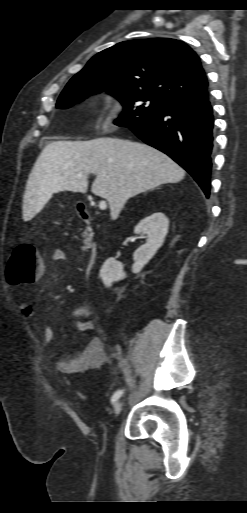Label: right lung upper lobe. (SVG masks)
<instances>
[{"label":"right lung upper lobe","instance_id":"cb5924a9","mask_svg":"<svg viewBox=\"0 0 247 513\" xmlns=\"http://www.w3.org/2000/svg\"><path fill=\"white\" fill-rule=\"evenodd\" d=\"M71 80L124 86L167 104L208 96L200 58L184 42L168 38L120 42L92 57Z\"/></svg>","mask_w":247,"mask_h":513}]
</instances>
